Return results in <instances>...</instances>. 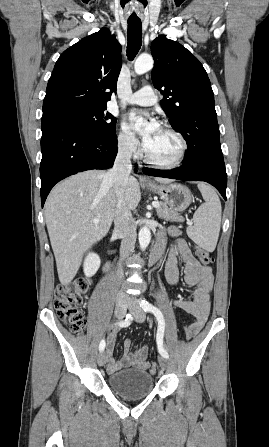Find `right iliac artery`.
I'll list each match as a JSON object with an SVG mask.
<instances>
[{"label":"right iliac artery","instance_id":"82829eb1","mask_svg":"<svg viewBox=\"0 0 269 447\" xmlns=\"http://www.w3.org/2000/svg\"><path fill=\"white\" fill-rule=\"evenodd\" d=\"M131 320H132L131 315H130V314H127V315H126V319H125L124 321L119 322L118 324H119L121 327L128 326V325H130ZM104 348H105V340L103 339V340L100 342V344H99V350H100V351H103Z\"/></svg>","mask_w":269,"mask_h":447}]
</instances>
